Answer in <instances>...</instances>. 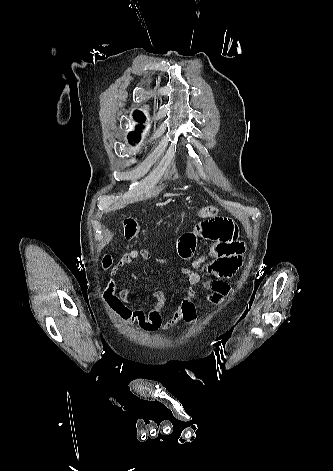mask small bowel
Here are the masks:
<instances>
[{
	"label": "small bowel",
	"mask_w": 333,
	"mask_h": 471,
	"mask_svg": "<svg viewBox=\"0 0 333 471\" xmlns=\"http://www.w3.org/2000/svg\"><path fill=\"white\" fill-rule=\"evenodd\" d=\"M192 232L182 235L179 239L178 249L185 259H192L195 254L197 242L200 239L212 242L211 256L213 260L205 264V258L194 261L193 267H181L179 269L190 285L187 296L173 314L166 320L163 319L161 309L164 304L163 294H154L155 306L146 311L133 309L129 306V290L117 289L118 275L121 268L130 264L134 259L141 258L144 261L150 259L147 250L133 249L120 257L112 269V279L105 291V299L113 312L126 324H138L147 332L167 331L172 329L179 321H185L190 325L197 322V310L195 301L199 294L197 287L206 290L205 300L212 304H221L231 292V285L225 280L234 276L241 268L246 252V245L239 239L238 228L235 221L226 216L203 217ZM159 263H165L162 258L156 259Z\"/></svg>",
	"instance_id": "small-bowel-1"
}]
</instances>
